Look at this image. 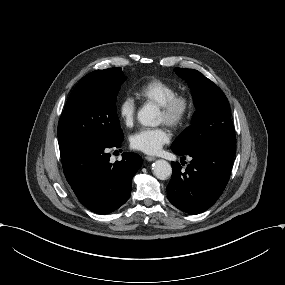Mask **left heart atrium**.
<instances>
[{
  "mask_svg": "<svg viewBox=\"0 0 285 285\" xmlns=\"http://www.w3.org/2000/svg\"><path fill=\"white\" fill-rule=\"evenodd\" d=\"M170 139L168 129L161 125L156 128H144L130 138L131 145L148 154L156 153Z\"/></svg>",
  "mask_w": 285,
  "mask_h": 285,
  "instance_id": "left-heart-atrium-1",
  "label": "left heart atrium"
}]
</instances>
